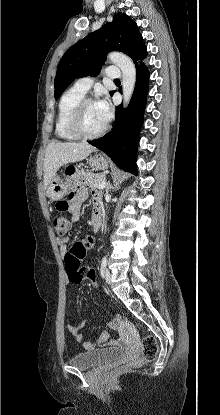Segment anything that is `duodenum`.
<instances>
[{
	"mask_svg": "<svg viewBox=\"0 0 220 415\" xmlns=\"http://www.w3.org/2000/svg\"><path fill=\"white\" fill-rule=\"evenodd\" d=\"M102 223V212H98L94 217V231L98 232Z\"/></svg>",
	"mask_w": 220,
	"mask_h": 415,
	"instance_id": "1",
	"label": "duodenum"
}]
</instances>
